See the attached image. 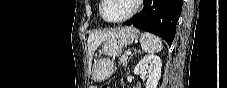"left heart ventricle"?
<instances>
[{"label": "left heart ventricle", "instance_id": "obj_1", "mask_svg": "<svg viewBox=\"0 0 227 88\" xmlns=\"http://www.w3.org/2000/svg\"><path fill=\"white\" fill-rule=\"evenodd\" d=\"M132 7V0H108L103 12L107 19L114 20L125 16Z\"/></svg>", "mask_w": 227, "mask_h": 88}]
</instances>
